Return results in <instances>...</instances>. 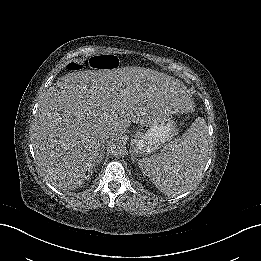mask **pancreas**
<instances>
[{
    "label": "pancreas",
    "mask_w": 261,
    "mask_h": 261,
    "mask_svg": "<svg viewBox=\"0 0 261 261\" xmlns=\"http://www.w3.org/2000/svg\"><path fill=\"white\" fill-rule=\"evenodd\" d=\"M171 131H173L174 126L172 124L169 125Z\"/></svg>",
    "instance_id": "cf45deb5"
}]
</instances>
